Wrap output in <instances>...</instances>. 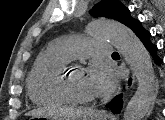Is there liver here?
<instances>
[{"mask_svg":"<svg viewBox=\"0 0 165 120\" xmlns=\"http://www.w3.org/2000/svg\"><path fill=\"white\" fill-rule=\"evenodd\" d=\"M46 111H47L46 109H37V110L30 111L26 115H32V116L42 115V114H45ZM47 112L48 114L59 116L65 120H76L77 118L89 113L90 110H86V109L76 110L73 108L56 107V108L49 109Z\"/></svg>","mask_w":165,"mask_h":120,"instance_id":"obj_1","label":"liver"}]
</instances>
